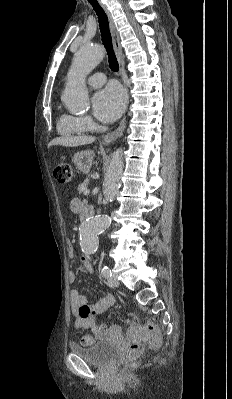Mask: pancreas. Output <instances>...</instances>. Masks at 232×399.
Instances as JSON below:
<instances>
[{
    "mask_svg": "<svg viewBox=\"0 0 232 399\" xmlns=\"http://www.w3.org/2000/svg\"><path fill=\"white\" fill-rule=\"evenodd\" d=\"M88 184H89L88 178H86V180H84V182H82V184H79V186L77 188L79 194H83V192H85V190H87Z\"/></svg>",
    "mask_w": 232,
    "mask_h": 399,
    "instance_id": "cf45deb5",
    "label": "pancreas"
}]
</instances>
